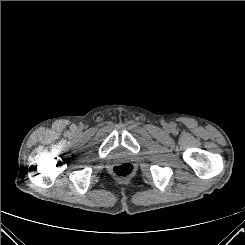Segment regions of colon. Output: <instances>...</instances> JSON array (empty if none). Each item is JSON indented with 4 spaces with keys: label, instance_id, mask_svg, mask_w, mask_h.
<instances>
[{
    "label": "colon",
    "instance_id": "5ec220e1",
    "mask_svg": "<svg viewBox=\"0 0 245 245\" xmlns=\"http://www.w3.org/2000/svg\"><path fill=\"white\" fill-rule=\"evenodd\" d=\"M112 171H113V174L117 178L127 179L132 175L134 168H133L132 164H130L128 162H124V163H120V164L115 165L113 167Z\"/></svg>",
    "mask_w": 245,
    "mask_h": 245
}]
</instances>
